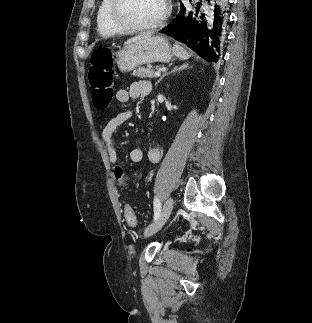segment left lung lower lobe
Segmentation results:
<instances>
[{
    "label": "left lung lower lobe",
    "instance_id": "0a47b994",
    "mask_svg": "<svg viewBox=\"0 0 312 323\" xmlns=\"http://www.w3.org/2000/svg\"><path fill=\"white\" fill-rule=\"evenodd\" d=\"M205 9L188 11L181 4L176 18L161 32L185 43L199 56L217 61L221 55L227 27V3L206 0Z\"/></svg>",
    "mask_w": 312,
    "mask_h": 323
}]
</instances>
